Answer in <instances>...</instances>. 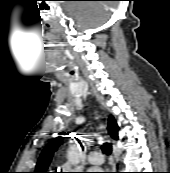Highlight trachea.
<instances>
[{"instance_id": "obj_1", "label": "trachea", "mask_w": 170, "mask_h": 173, "mask_svg": "<svg viewBox=\"0 0 170 173\" xmlns=\"http://www.w3.org/2000/svg\"><path fill=\"white\" fill-rule=\"evenodd\" d=\"M101 149H102V152L107 154V155H110L112 152V146H111V144H109L107 142L103 143Z\"/></svg>"}]
</instances>
